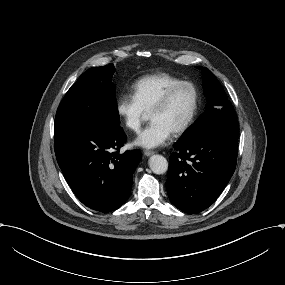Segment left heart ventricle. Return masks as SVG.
<instances>
[{"label":"left heart ventricle","mask_w":285,"mask_h":285,"mask_svg":"<svg viewBox=\"0 0 285 285\" xmlns=\"http://www.w3.org/2000/svg\"><path fill=\"white\" fill-rule=\"evenodd\" d=\"M194 102V93L190 86H180L173 94L170 103L151 113L152 120H159L172 130L189 115Z\"/></svg>","instance_id":"obj_1"}]
</instances>
